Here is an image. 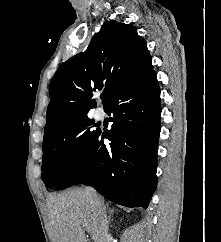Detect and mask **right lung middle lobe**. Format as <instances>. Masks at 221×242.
<instances>
[{
    "instance_id": "1",
    "label": "right lung middle lobe",
    "mask_w": 221,
    "mask_h": 242,
    "mask_svg": "<svg viewBox=\"0 0 221 242\" xmlns=\"http://www.w3.org/2000/svg\"><path fill=\"white\" fill-rule=\"evenodd\" d=\"M94 122L81 117L43 140L42 180L47 187L56 186L80 160L99 130Z\"/></svg>"
}]
</instances>
